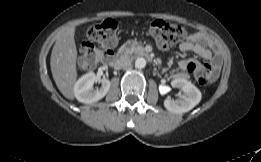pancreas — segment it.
Listing matches in <instances>:
<instances>
[{
    "label": "pancreas",
    "instance_id": "pancreas-1",
    "mask_svg": "<svg viewBox=\"0 0 261 162\" xmlns=\"http://www.w3.org/2000/svg\"><path fill=\"white\" fill-rule=\"evenodd\" d=\"M126 45H127L126 50H128L131 53L137 50H143V47L137 41H129L126 43Z\"/></svg>",
    "mask_w": 261,
    "mask_h": 162
}]
</instances>
